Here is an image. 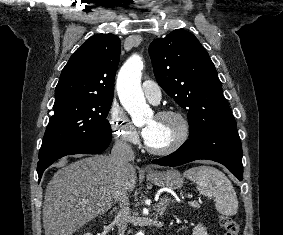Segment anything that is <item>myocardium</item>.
I'll list each match as a JSON object with an SVG mask.
<instances>
[{"label":"myocardium","mask_w":283,"mask_h":235,"mask_svg":"<svg viewBox=\"0 0 283 235\" xmlns=\"http://www.w3.org/2000/svg\"><path fill=\"white\" fill-rule=\"evenodd\" d=\"M157 118H162V119H174L179 123L180 129L179 133L174 139V141L169 144L166 147L163 148H155L151 146L148 141L145 142V148L147 149L148 152L154 155H159V156H165L174 153L178 149H180L189 139L190 133H191V128H190V123L187 117L175 110H163L160 111L157 116Z\"/></svg>","instance_id":"f54148a6"}]
</instances>
